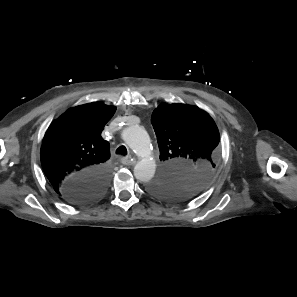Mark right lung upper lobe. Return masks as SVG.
<instances>
[{
  "label": "right lung upper lobe",
  "mask_w": 297,
  "mask_h": 297,
  "mask_svg": "<svg viewBox=\"0 0 297 297\" xmlns=\"http://www.w3.org/2000/svg\"><path fill=\"white\" fill-rule=\"evenodd\" d=\"M115 106L88 103L67 110L51 123L41 147L45 175L60 194L77 173L107 168L109 143L101 137Z\"/></svg>",
  "instance_id": "obj_1"
}]
</instances>
